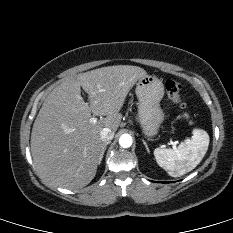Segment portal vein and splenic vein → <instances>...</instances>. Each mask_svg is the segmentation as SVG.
I'll list each match as a JSON object with an SVG mask.
<instances>
[{"instance_id": "portal-vein-and-splenic-vein-1", "label": "portal vein and splenic vein", "mask_w": 233, "mask_h": 233, "mask_svg": "<svg viewBox=\"0 0 233 233\" xmlns=\"http://www.w3.org/2000/svg\"><path fill=\"white\" fill-rule=\"evenodd\" d=\"M90 121L95 123L97 119L95 117H92ZM171 144L173 145L174 148L176 147V142H172Z\"/></svg>"}]
</instances>
